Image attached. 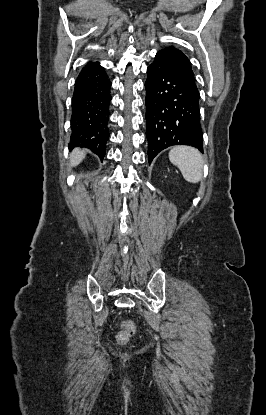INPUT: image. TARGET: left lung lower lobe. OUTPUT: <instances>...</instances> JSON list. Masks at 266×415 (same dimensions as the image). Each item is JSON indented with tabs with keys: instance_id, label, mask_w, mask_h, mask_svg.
<instances>
[{
	"instance_id": "left-lung-lower-lobe-1",
	"label": "left lung lower lobe",
	"mask_w": 266,
	"mask_h": 415,
	"mask_svg": "<svg viewBox=\"0 0 266 415\" xmlns=\"http://www.w3.org/2000/svg\"><path fill=\"white\" fill-rule=\"evenodd\" d=\"M146 137L148 160L173 145H190L203 152L199 91L164 55L157 53L147 68Z\"/></svg>"
}]
</instances>
